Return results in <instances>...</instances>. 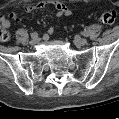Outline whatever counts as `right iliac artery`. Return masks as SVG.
Instances as JSON below:
<instances>
[{
	"instance_id": "obj_1",
	"label": "right iliac artery",
	"mask_w": 119,
	"mask_h": 119,
	"mask_svg": "<svg viewBox=\"0 0 119 119\" xmlns=\"http://www.w3.org/2000/svg\"><path fill=\"white\" fill-rule=\"evenodd\" d=\"M38 37V33L37 32H33L32 34H31V38L33 39V38H37Z\"/></svg>"
}]
</instances>
